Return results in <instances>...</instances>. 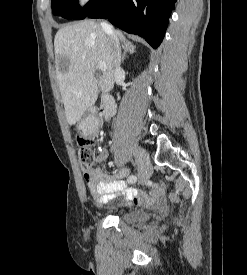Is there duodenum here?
<instances>
[{
    "label": "duodenum",
    "instance_id": "1",
    "mask_svg": "<svg viewBox=\"0 0 247 275\" xmlns=\"http://www.w3.org/2000/svg\"><path fill=\"white\" fill-rule=\"evenodd\" d=\"M116 108L117 106L114 98L110 95H104L101 100L99 111L95 117L106 120L116 112Z\"/></svg>",
    "mask_w": 247,
    "mask_h": 275
}]
</instances>
